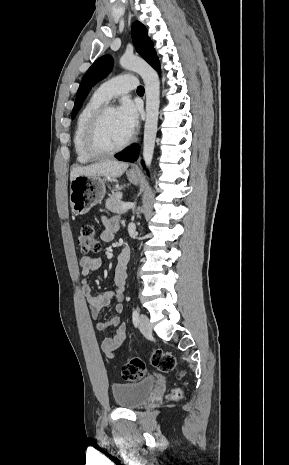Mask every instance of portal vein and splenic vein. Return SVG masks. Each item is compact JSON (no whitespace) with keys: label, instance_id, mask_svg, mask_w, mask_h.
Here are the masks:
<instances>
[{"label":"portal vein and splenic vein","instance_id":"1","mask_svg":"<svg viewBox=\"0 0 289 465\" xmlns=\"http://www.w3.org/2000/svg\"><path fill=\"white\" fill-rule=\"evenodd\" d=\"M134 205H135L134 203L126 202V203H123L122 208L125 210H128L132 208Z\"/></svg>","mask_w":289,"mask_h":465}]
</instances>
